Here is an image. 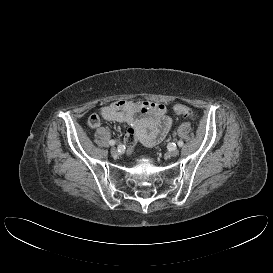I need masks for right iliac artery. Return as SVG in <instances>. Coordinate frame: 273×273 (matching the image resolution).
I'll return each instance as SVG.
<instances>
[{
    "mask_svg": "<svg viewBox=\"0 0 273 273\" xmlns=\"http://www.w3.org/2000/svg\"><path fill=\"white\" fill-rule=\"evenodd\" d=\"M109 144H110L111 146H113V145H115V141H114V140H110V141H109Z\"/></svg>",
    "mask_w": 273,
    "mask_h": 273,
    "instance_id": "82829eb1",
    "label": "right iliac artery"
}]
</instances>
